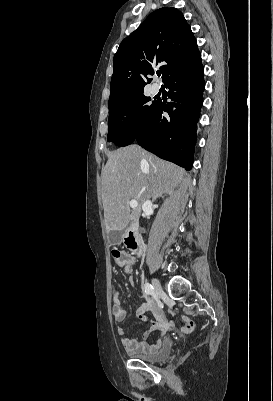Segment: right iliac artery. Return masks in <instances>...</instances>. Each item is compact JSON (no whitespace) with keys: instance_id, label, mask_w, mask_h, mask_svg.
<instances>
[{"instance_id":"right-iliac-artery-1","label":"right iliac artery","mask_w":273,"mask_h":401,"mask_svg":"<svg viewBox=\"0 0 273 401\" xmlns=\"http://www.w3.org/2000/svg\"><path fill=\"white\" fill-rule=\"evenodd\" d=\"M143 289H144L145 293L148 294V295H151L153 293V286L151 284H149V283H146L143 286Z\"/></svg>"}]
</instances>
